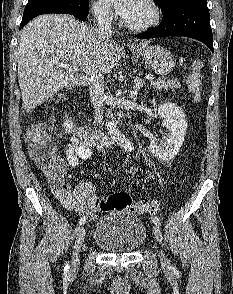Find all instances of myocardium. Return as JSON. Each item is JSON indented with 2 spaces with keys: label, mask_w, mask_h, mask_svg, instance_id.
<instances>
[{
  "label": "myocardium",
  "mask_w": 233,
  "mask_h": 294,
  "mask_svg": "<svg viewBox=\"0 0 233 294\" xmlns=\"http://www.w3.org/2000/svg\"><path fill=\"white\" fill-rule=\"evenodd\" d=\"M150 11L149 18L141 23H131L129 21H125V25L127 28L133 31L141 32L146 31L154 26H156L161 18V10L159 6L156 4L154 0H143Z\"/></svg>",
  "instance_id": "myocardium-1"
}]
</instances>
